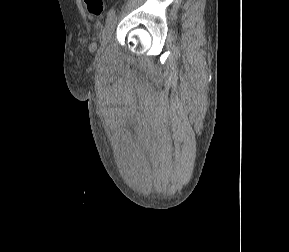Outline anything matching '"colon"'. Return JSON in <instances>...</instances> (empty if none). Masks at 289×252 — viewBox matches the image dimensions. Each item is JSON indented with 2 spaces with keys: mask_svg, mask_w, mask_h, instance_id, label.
Returning a JSON list of instances; mask_svg holds the SVG:
<instances>
[{
  "mask_svg": "<svg viewBox=\"0 0 289 252\" xmlns=\"http://www.w3.org/2000/svg\"><path fill=\"white\" fill-rule=\"evenodd\" d=\"M87 11L95 16H99L104 10V0H84Z\"/></svg>",
  "mask_w": 289,
  "mask_h": 252,
  "instance_id": "5ec220e1",
  "label": "colon"
}]
</instances>
